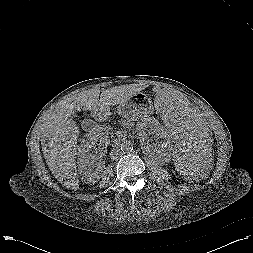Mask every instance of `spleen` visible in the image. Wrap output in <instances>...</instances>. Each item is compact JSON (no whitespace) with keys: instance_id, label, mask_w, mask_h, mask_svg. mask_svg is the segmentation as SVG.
Segmentation results:
<instances>
[{"instance_id":"3e777b00","label":"spleen","mask_w":253,"mask_h":253,"mask_svg":"<svg viewBox=\"0 0 253 253\" xmlns=\"http://www.w3.org/2000/svg\"><path fill=\"white\" fill-rule=\"evenodd\" d=\"M153 105L171 136L181 174L191 183L206 181L218 157L209 127L175 89L159 91Z\"/></svg>"}]
</instances>
